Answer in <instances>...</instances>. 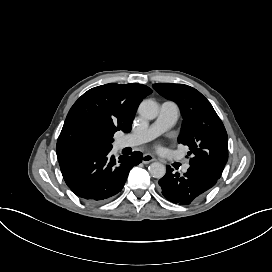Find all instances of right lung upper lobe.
I'll list each match as a JSON object with an SVG mask.
<instances>
[{"label":"right lung upper lobe","mask_w":272,"mask_h":272,"mask_svg":"<svg viewBox=\"0 0 272 272\" xmlns=\"http://www.w3.org/2000/svg\"><path fill=\"white\" fill-rule=\"evenodd\" d=\"M152 90L110 83L85 92L71 107L57 141L58 161L84 152L111 150L113 135L128 133L137 108Z\"/></svg>","instance_id":"right-lung-upper-lobe-1"}]
</instances>
